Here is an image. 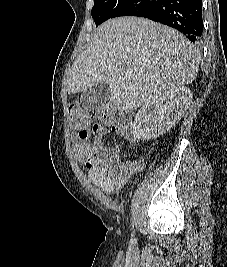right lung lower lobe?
<instances>
[{"instance_id": "right-lung-lower-lobe-1", "label": "right lung lower lobe", "mask_w": 227, "mask_h": 267, "mask_svg": "<svg viewBox=\"0 0 227 267\" xmlns=\"http://www.w3.org/2000/svg\"><path fill=\"white\" fill-rule=\"evenodd\" d=\"M119 16L144 17L166 24L193 43H199L203 32L202 0H129L113 17Z\"/></svg>"}]
</instances>
